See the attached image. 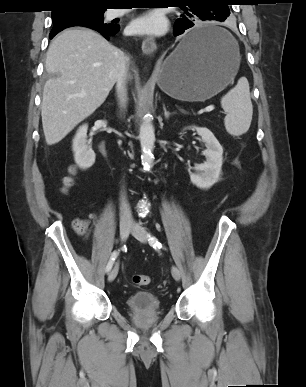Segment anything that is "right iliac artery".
<instances>
[{"label":"right iliac artery","instance_id":"obj_1","mask_svg":"<svg viewBox=\"0 0 306 387\" xmlns=\"http://www.w3.org/2000/svg\"><path fill=\"white\" fill-rule=\"evenodd\" d=\"M118 256V251H114L112 254H111V257L108 261V264L106 266V272H109L114 264V261L115 259L117 258Z\"/></svg>","mask_w":306,"mask_h":387}]
</instances>
